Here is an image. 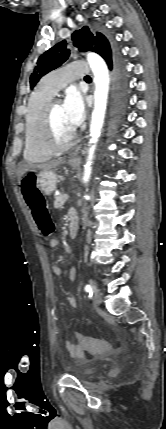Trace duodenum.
<instances>
[{"label": "duodenum", "mask_w": 166, "mask_h": 429, "mask_svg": "<svg viewBox=\"0 0 166 429\" xmlns=\"http://www.w3.org/2000/svg\"><path fill=\"white\" fill-rule=\"evenodd\" d=\"M78 229V216L75 212L69 214V233L71 237H74Z\"/></svg>", "instance_id": "410a0bca"}]
</instances>
